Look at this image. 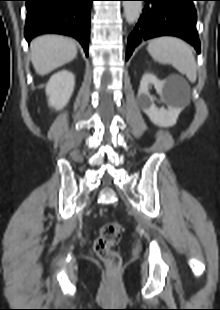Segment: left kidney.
Listing matches in <instances>:
<instances>
[{
    "label": "left kidney",
    "mask_w": 220,
    "mask_h": 310,
    "mask_svg": "<svg viewBox=\"0 0 220 310\" xmlns=\"http://www.w3.org/2000/svg\"><path fill=\"white\" fill-rule=\"evenodd\" d=\"M154 86L157 93L162 97L166 91V81L157 79L151 73H145L141 79L138 97L141 108L148 115L151 122L160 127H171L176 124L180 109L168 107V109L157 108L154 104V97L150 95L149 88Z\"/></svg>",
    "instance_id": "5707ae66"
}]
</instances>
